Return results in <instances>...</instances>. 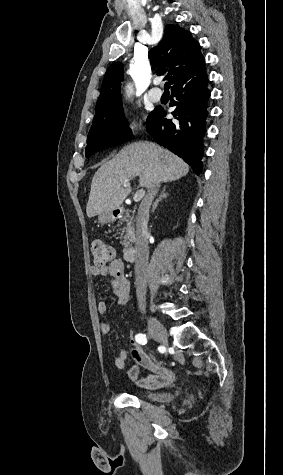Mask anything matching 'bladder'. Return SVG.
<instances>
[{
  "instance_id": "1",
  "label": "bladder",
  "mask_w": 283,
  "mask_h": 475,
  "mask_svg": "<svg viewBox=\"0 0 283 475\" xmlns=\"http://www.w3.org/2000/svg\"><path fill=\"white\" fill-rule=\"evenodd\" d=\"M137 397L138 398H143L146 401H161L162 400L161 398H159L158 396H156L154 394H146V393H142V392H138ZM163 397L173 399L175 397V394L172 393V392H167L163 395Z\"/></svg>"
}]
</instances>
